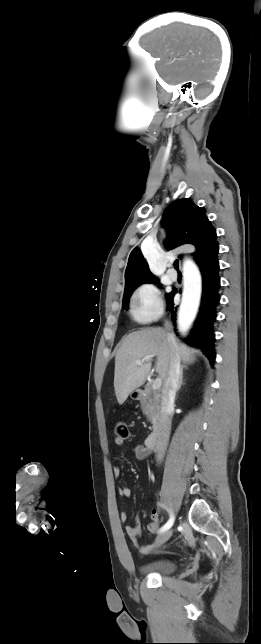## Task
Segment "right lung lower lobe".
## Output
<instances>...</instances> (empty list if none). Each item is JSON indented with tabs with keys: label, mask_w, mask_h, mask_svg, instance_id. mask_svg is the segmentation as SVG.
Listing matches in <instances>:
<instances>
[{
	"label": "right lung lower lobe",
	"mask_w": 261,
	"mask_h": 644,
	"mask_svg": "<svg viewBox=\"0 0 261 644\" xmlns=\"http://www.w3.org/2000/svg\"><path fill=\"white\" fill-rule=\"evenodd\" d=\"M202 274L203 280V293L201 307L198 318L194 324V329L191 335L185 339V342L190 346L201 349L204 354L209 358L211 363H214V329L213 324L216 319V306L219 304L220 296L218 290L220 288V278L218 275L219 263L217 257L211 261L198 264ZM172 296L167 300L168 310L171 313V319L174 326H176V308L174 307L173 297L175 289H173Z\"/></svg>",
	"instance_id": "1"
}]
</instances>
